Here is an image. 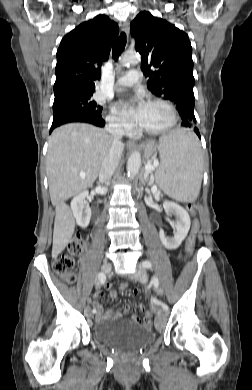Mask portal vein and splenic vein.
I'll return each instance as SVG.
<instances>
[{
  "label": "portal vein and splenic vein",
  "mask_w": 252,
  "mask_h": 390,
  "mask_svg": "<svg viewBox=\"0 0 252 390\" xmlns=\"http://www.w3.org/2000/svg\"><path fill=\"white\" fill-rule=\"evenodd\" d=\"M159 165V162L157 159H153L151 163H148L146 166H145V172L146 174L150 173L151 171H153L155 169V167H157ZM152 191L153 193H156L157 191V188L154 186L152 188Z\"/></svg>",
  "instance_id": "18ae733b"
}]
</instances>
